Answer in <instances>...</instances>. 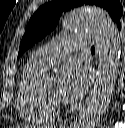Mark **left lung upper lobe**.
<instances>
[{
    "instance_id": "5c2ea615",
    "label": "left lung upper lobe",
    "mask_w": 125,
    "mask_h": 128,
    "mask_svg": "<svg viewBox=\"0 0 125 128\" xmlns=\"http://www.w3.org/2000/svg\"><path fill=\"white\" fill-rule=\"evenodd\" d=\"M84 4L105 9L117 25L120 23L123 14L120 0H54L42 5L30 18L20 43L18 56L51 32L58 24L63 12Z\"/></svg>"
}]
</instances>
